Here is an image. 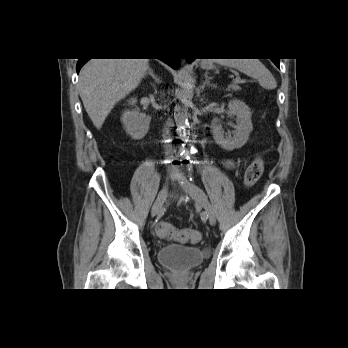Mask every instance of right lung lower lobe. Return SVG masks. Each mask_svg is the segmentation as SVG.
<instances>
[{"label": "right lung lower lobe", "mask_w": 348, "mask_h": 348, "mask_svg": "<svg viewBox=\"0 0 348 348\" xmlns=\"http://www.w3.org/2000/svg\"><path fill=\"white\" fill-rule=\"evenodd\" d=\"M89 59H79L77 66H76V70L77 73H79L80 69L82 68V66L88 61ZM162 61H164L165 63H167L168 65H170L171 67H173L174 69H178L180 66V59L179 58H174V59H160Z\"/></svg>", "instance_id": "right-lung-lower-lobe-1"}]
</instances>
